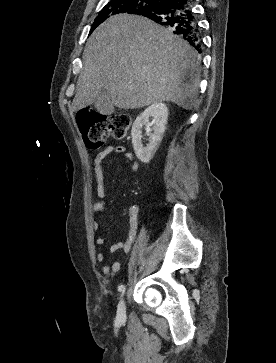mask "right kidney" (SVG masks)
<instances>
[{"label": "right kidney", "instance_id": "1", "mask_svg": "<svg viewBox=\"0 0 276 363\" xmlns=\"http://www.w3.org/2000/svg\"><path fill=\"white\" fill-rule=\"evenodd\" d=\"M153 117L150 123L149 118ZM168 108L164 103H154L146 108L134 121L131 136L132 144L137 158L143 163H149L162 141L166 129ZM153 125V133L149 135L147 146L142 143V127Z\"/></svg>", "mask_w": 276, "mask_h": 363}]
</instances>
